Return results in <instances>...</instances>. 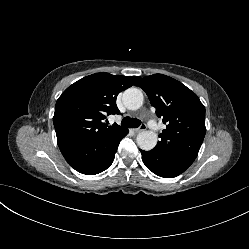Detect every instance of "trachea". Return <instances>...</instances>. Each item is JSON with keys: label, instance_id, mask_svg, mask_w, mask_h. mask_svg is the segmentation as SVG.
<instances>
[{"label": "trachea", "instance_id": "obj_1", "mask_svg": "<svg viewBox=\"0 0 249 249\" xmlns=\"http://www.w3.org/2000/svg\"><path fill=\"white\" fill-rule=\"evenodd\" d=\"M141 121L137 118L125 117L123 118L121 125L125 128H138Z\"/></svg>", "mask_w": 249, "mask_h": 249}]
</instances>
